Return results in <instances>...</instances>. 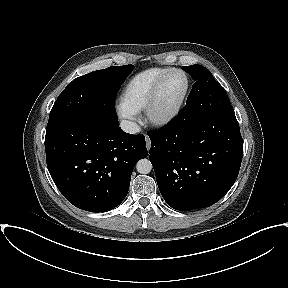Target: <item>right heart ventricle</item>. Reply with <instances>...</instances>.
Here are the masks:
<instances>
[{
	"label": "right heart ventricle",
	"instance_id": "1",
	"mask_svg": "<svg viewBox=\"0 0 288 288\" xmlns=\"http://www.w3.org/2000/svg\"><path fill=\"white\" fill-rule=\"evenodd\" d=\"M168 69L166 67H152L133 76L123 94L125 105L135 114L144 110L149 102L155 83Z\"/></svg>",
	"mask_w": 288,
	"mask_h": 288
}]
</instances>
